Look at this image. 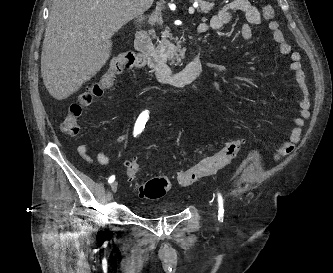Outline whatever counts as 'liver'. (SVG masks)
<instances>
[{"label": "liver", "instance_id": "1", "mask_svg": "<svg viewBox=\"0 0 333 273\" xmlns=\"http://www.w3.org/2000/svg\"><path fill=\"white\" fill-rule=\"evenodd\" d=\"M145 10L154 0H144ZM130 0H53L41 54L49 94L63 100L106 64L111 37L134 15Z\"/></svg>", "mask_w": 333, "mask_h": 273}]
</instances>
